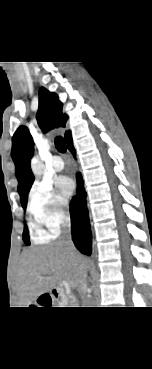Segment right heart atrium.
<instances>
[{"mask_svg":"<svg viewBox=\"0 0 152 369\" xmlns=\"http://www.w3.org/2000/svg\"><path fill=\"white\" fill-rule=\"evenodd\" d=\"M28 210L40 230L50 237L69 220V207L50 185L34 184L28 196Z\"/></svg>","mask_w":152,"mask_h":369,"instance_id":"obj_1","label":"right heart atrium"}]
</instances>
